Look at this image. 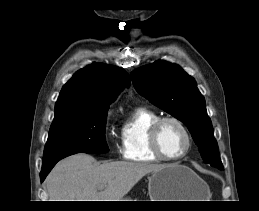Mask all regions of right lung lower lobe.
<instances>
[{
  "label": "right lung lower lobe",
  "instance_id": "right-lung-lower-lobe-1",
  "mask_svg": "<svg viewBox=\"0 0 259 211\" xmlns=\"http://www.w3.org/2000/svg\"><path fill=\"white\" fill-rule=\"evenodd\" d=\"M59 160L48 164V165H42V171L40 173V177H41V182L44 181L45 177L47 176V174L51 171V169L54 167V165L58 162Z\"/></svg>",
  "mask_w": 259,
  "mask_h": 211
}]
</instances>
